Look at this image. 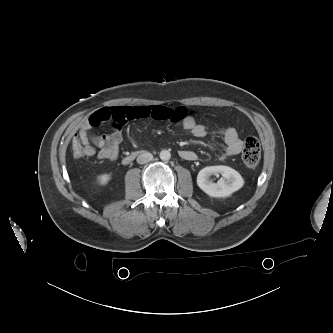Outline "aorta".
Returning a JSON list of instances; mask_svg holds the SVG:
<instances>
[{"mask_svg": "<svg viewBox=\"0 0 333 333\" xmlns=\"http://www.w3.org/2000/svg\"><path fill=\"white\" fill-rule=\"evenodd\" d=\"M171 158V154L168 150H162L160 152V159L163 161H167Z\"/></svg>", "mask_w": 333, "mask_h": 333, "instance_id": "aorta-1", "label": "aorta"}]
</instances>
